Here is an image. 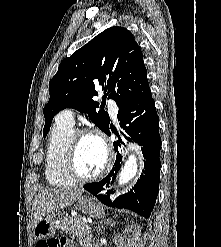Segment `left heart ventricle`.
Instances as JSON below:
<instances>
[{"label":"left heart ventricle","mask_w":221,"mask_h":247,"mask_svg":"<svg viewBox=\"0 0 221 247\" xmlns=\"http://www.w3.org/2000/svg\"><path fill=\"white\" fill-rule=\"evenodd\" d=\"M106 161L105 149L94 136H83L77 150V167L81 174L92 176L97 174Z\"/></svg>","instance_id":"1"}]
</instances>
